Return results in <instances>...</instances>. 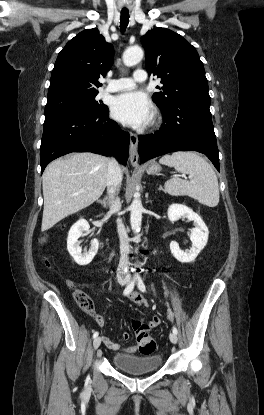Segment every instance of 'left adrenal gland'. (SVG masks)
Wrapping results in <instances>:
<instances>
[{"mask_svg":"<svg viewBox=\"0 0 264 415\" xmlns=\"http://www.w3.org/2000/svg\"><path fill=\"white\" fill-rule=\"evenodd\" d=\"M162 189V186H159V190H161Z\"/></svg>","mask_w":264,"mask_h":415,"instance_id":"left-adrenal-gland-1","label":"left adrenal gland"}]
</instances>
